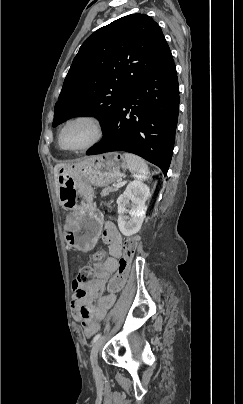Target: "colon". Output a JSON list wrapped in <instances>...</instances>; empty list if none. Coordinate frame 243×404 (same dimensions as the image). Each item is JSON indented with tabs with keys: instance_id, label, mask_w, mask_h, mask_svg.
<instances>
[{
	"instance_id": "colon-1",
	"label": "colon",
	"mask_w": 243,
	"mask_h": 404,
	"mask_svg": "<svg viewBox=\"0 0 243 404\" xmlns=\"http://www.w3.org/2000/svg\"><path fill=\"white\" fill-rule=\"evenodd\" d=\"M138 246V240L136 238H129L123 244L122 255L118 261L117 272L109 283V290L111 292L121 290L128 280L129 269L135 255ZM103 253H97L95 255L96 259H102ZM96 277L95 269L89 265L85 264L81 268L77 281L86 284L94 280Z\"/></svg>"
}]
</instances>
